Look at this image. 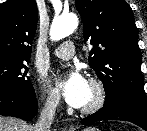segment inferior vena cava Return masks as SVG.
I'll return each instance as SVG.
<instances>
[{"label":"inferior vena cava","mask_w":147,"mask_h":131,"mask_svg":"<svg viewBox=\"0 0 147 131\" xmlns=\"http://www.w3.org/2000/svg\"><path fill=\"white\" fill-rule=\"evenodd\" d=\"M57 103L56 100H49L45 104L34 126V131H50L55 117Z\"/></svg>","instance_id":"602c4592"}]
</instances>
